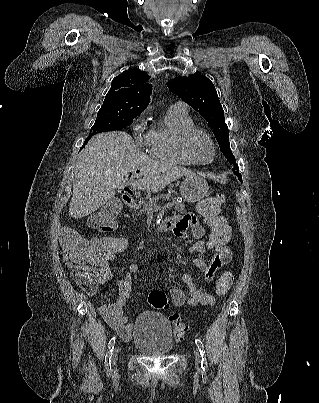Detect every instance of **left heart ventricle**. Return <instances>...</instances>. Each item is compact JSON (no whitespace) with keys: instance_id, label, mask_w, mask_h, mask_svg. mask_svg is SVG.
Segmentation results:
<instances>
[{"instance_id":"b2bd125f","label":"left heart ventricle","mask_w":319,"mask_h":403,"mask_svg":"<svg viewBox=\"0 0 319 403\" xmlns=\"http://www.w3.org/2000/svg\"><path fill=\"white\" fill-rule=\"evenodd\" d=\"M183 134L181 135L182 139ZM193 152L200 161H209L212 158L213 150L210 143L202 136L193 141Z\"/></svg>"}]
</instances>
